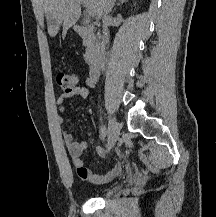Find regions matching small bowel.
I'll use <instances>...</instances> for the list:
<instances>
[{
    "label": "small bowel",
    "instance_id": "small-bowel-1",
    "mask_svg": "<svg viewBox=\"0 0 216 217\" xmlns=\"http://www.w3.org/2000/svg\"><path fill=\"white\" fill-rule=\"evenodd\" d=\"M97 79L98 74H90V76H88L85 80L86 86H95ZM86 86H76L72 90L63 92L56 100L59 111L61 113L64 112L65 102L69 98L75 96L80 98H86L89 94L88 88ZM58 122L60 125L64 124V120L61 116H59ZM63 140L69 157L76 169L77 176L80 180L93 184H102L113 180L121 173L125 163V154L123 152L117 153V164L111 171L103 175H98L89 168H87L82 160V154L88 148V143L86 141L75 140L73 136L65 130H63ZM96 152L99 155H105V150L100 146L96 147Z\"/></svg>",
    "mask_w": 216,
    "mask_h": 217
}]
</instances>
